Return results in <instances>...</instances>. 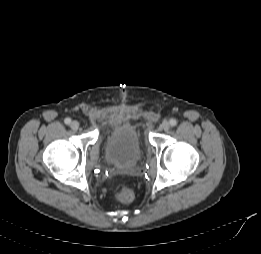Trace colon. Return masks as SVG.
<instances>
[{
    "mask_svg": "<svg viewBox=\"0 0 261 254\" xmlns=\"http://www.w3.org/2000/svg\"><path fill=\"white\" fill-rule=\"evenodd\" d=\"M134 198V192L129 187H122L117 193V199L122 203H130Z\"/></svg>",
    "mask_w": 261,
    "mask_h": 254,
    "instance_id": "5ec220e1",
    "label": "colon"
}]
</instances>
